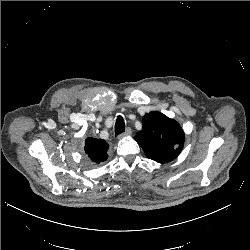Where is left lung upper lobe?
<instances>
[{
    "label": "left lung upper lobe",
    "mask_w": 250,
    "mask_h": 250,
    "mask_svg": "<svg viewBox=\"0 0 250 250\" xmlns=\"http://www.w3.org/2000/svg\"><path fill=\"white\" fill-rule=\"evenodd\" d=\"M142 124V130L136 134L135 140L149 159L167 163L180 154L185 136L175 120L152 111L144 115Z\"/></svg>",
    "instance_id": "1"
}]
</instances>
